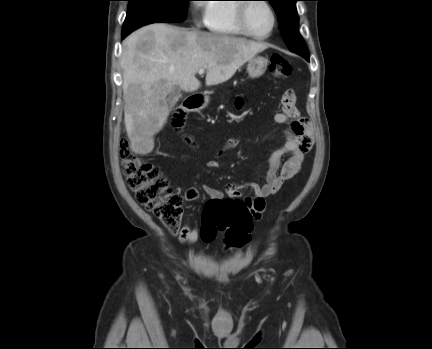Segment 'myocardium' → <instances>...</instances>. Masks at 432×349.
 Here are the masks:
<instances>
[{
	"instance_id": "1",
	"label": "myocardium",
	"mask_w": 432,
	"mask_h": 349,
	"mask_svg": "<svg viewBox=\"0 0 432 349\" xmlns=\"http://www.w3.org/2000/svg\"><path fill=\"white\" fill-rule=\"evenodd\" d=\"M245 1H248V2H243L242 4H239L237 6V10H236V22H237L239 29L244 33V35L251 37L253 39H256V40L268 39L273 34V32L275 31V29L277 27V13L275 11V8L273 7V5L268 0H257L260 2H254L252 0H245ZM254 3H263L264 5H266L268 7V9L270 10L271 15H272V26H271L270 30L268 31V33H266L264 35H257L255 33H253L250 30L248 23H247L248 9Z\"/></svg>"
}]
</instances>
